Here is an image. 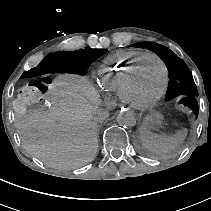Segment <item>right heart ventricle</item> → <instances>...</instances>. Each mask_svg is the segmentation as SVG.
<instances>
[{
    "label": "right heart ventricle",
    "instance_id": "obj_1",
    "mask_svg": "<svg viewBox=\"0 0 211 211\" xmlns=\"http://www.w3.org/2000/svg\"><path fill=\"white\" fill-rule=\"evenodd\" d=\"M145 55L147 53L136 56L134 51L125 50L103 60L100 66L94 69L93 78L101 84L102 92L109 103L114 104L121 99L128 74Z\"/></svg>",
    "mask_w": 211,
    "mask_h": 211
}]
</instances>
